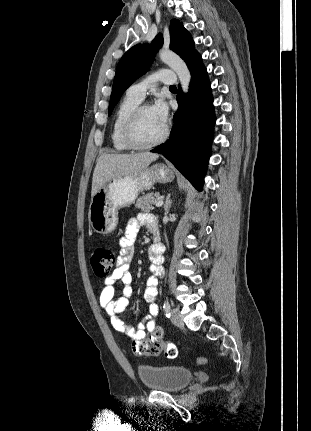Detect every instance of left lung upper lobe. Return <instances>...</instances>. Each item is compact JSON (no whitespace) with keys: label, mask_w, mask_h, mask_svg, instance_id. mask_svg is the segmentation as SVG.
Here are the masks:
<instances>
[{"label":"left lung upper lobe","mask_w":311,"mask_h":431,"mask_svg":"<svg viewBox=\"0 0 311 431\" xmlns=\"http://www.w3.org/2000/svg\"><path fill=\"white\" fill-rule=\"evenodd\" d=\"M163 45L162 34L156 36L151 45L138 44L130 48L120 59L113 82L109 103V115L118 103L123 92L141 75L151 64L155 53ZM170 48L177 53L188 65L197 54L190 33L183 24L173 19L170 22Z\"/></svg>","instance_id":"1"}]
</instances>
